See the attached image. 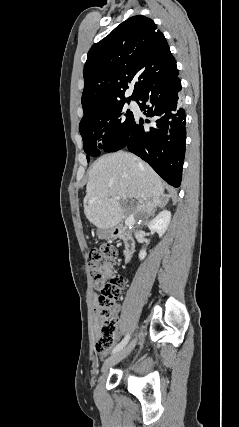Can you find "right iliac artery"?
Wrapping results in <instances>:
<instances>
[{
    "label": "right iliac artery",
    "instance_id": "1",
    "mask_svg": "<svg viewBox=\"0 0 239 427\" xmlns=\"http://www.w3.org/2000/svg\"><path fill=\"white\" fill-rule=\"evenodd\" d=\"M130 336L126 335L125 338L113 349L112 354L120 351L129 341Z\"/></svg>",
    "mask_w": 239,
    "mask_h": 427
}]
</instances>
